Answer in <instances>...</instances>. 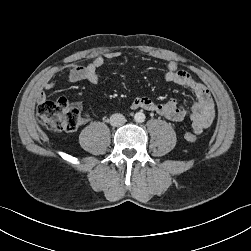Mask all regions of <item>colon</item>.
<instances>
[{
    "label": "colon",
    "instance_id": "colon-1",
    "mask_svg": "<svg viewBox=\"0 0 251 251\" xmlns=\"http://www.w3.org/2000/svg\"><path fill=\"white\" fill-rule=\"evenodd\" d=\"M37 120L53 132H69L75 130L80 123V110L76 105L65 99L41 102L36 109ZM189 141H194L193 133L186 135Z\"/></svg>",
    "mask_w": 251,
    "mask_h": 251
}]
</instances>
